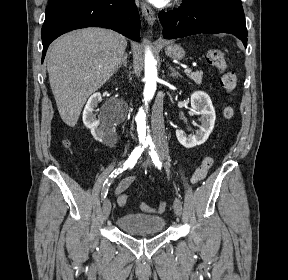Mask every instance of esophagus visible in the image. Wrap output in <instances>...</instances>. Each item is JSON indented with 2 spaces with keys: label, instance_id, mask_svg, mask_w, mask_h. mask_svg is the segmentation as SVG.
Instances as JSON below:
<instances>
[{
  "label": "esophagus",
  "instance_id": "obj_1",
  "mask_svg": "<svg viewBox=\"0 0 288 280\" xmlns=\"http://www.w3.org/2000/svg\"><path fill=\"white\" fill-rule=\"evenodd\" d=\"M141 11H142V14H143L145 20L148 22V24L153 26L156 17H155V13L152 10V8L149 5H147L146 3H141Z\"/></svg>",
  "mask_w": 288,
  "mask_h": 280
}]
</instances>
